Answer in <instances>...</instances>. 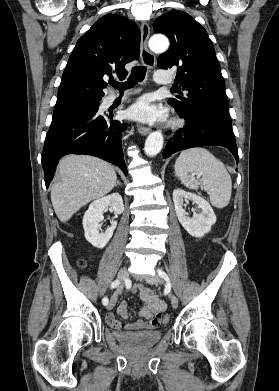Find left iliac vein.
Masks as SVG:
<instances>
[{
  "label": "left iliac vein",
  "mask_w": 279,
  "mask_h": 391,
  "mask_svg": "<svg viewBox=\"0 0 279 391\" xmlns=\"http://www.w3.org/2000/svg\"><path fill=\"white\" fill-rule=\"evenodd\" d=\"M147 282L149 284H153V285H162L164 283V280L162 279L161 276L155 275L153 277L148 278ZM170 301H171L172 307L174 309H176L178 307V298L176 297V295L171 294L170 295Z\"/></svg>",
  "instance_id": "left-iliac-vein-1"
}]
</instances>
